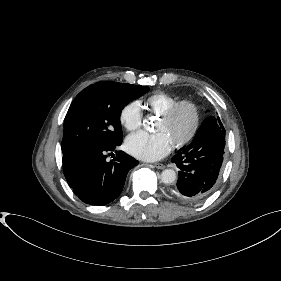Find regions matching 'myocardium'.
<instances>
[{
    "mask_svg": "<svg viewBox=\"0 0 281 281\" xmlns=\"http://www.w3.org/2000/svg\"><path fill=\"white\" fill-rule=\"evenodd\" d=\"M182 108L190 109L192 116H193V122H192V126H191V129L189 130V132L184 137H182L181 139H179L178 141L173 143V146L176 148H181V147L186 146L196 136L198 129L200 127V121H201L199 106L197 105V103L195 101L185 99V100L176 102L174 105H172L171 107H169L164 112H162L161 114L158 115L159 119H161L163 121H168Z\"/></svg>",
    "mask_w": 281,
    "mask_h": 281,
    "instance_id": "obj_1",
    "label": "myocardium"
}]
</instances>
